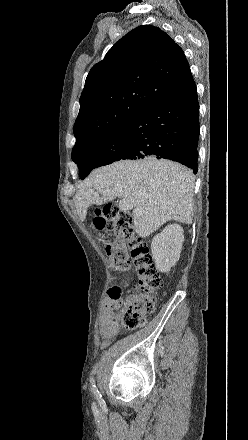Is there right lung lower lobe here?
Returning a JSON list of instances; mask_svg holds the SVG:
<instances>
[{"mask_svg": "<svg viewBox=\"0 0 248 440\" xmlns=\"http://www.w3.org/2000/svg\"><path fill=\"white\" fill-rule=\"evenodd\" d=\"M127 125L130 143L121 159H171L197 173L199 104L196 86L153 103Z\"/></svg>", "mask_w": 248, "mask_h": 440, "instance_id": "obj_1", "label": "right lung lower lobe"}]
</instances>
